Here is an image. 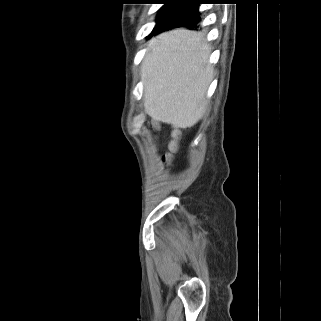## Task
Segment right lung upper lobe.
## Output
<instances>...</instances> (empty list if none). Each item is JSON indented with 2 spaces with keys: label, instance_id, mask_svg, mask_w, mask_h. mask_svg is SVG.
Here are the masks:
<instances>
[{
  "label": "right lung upper lobe",
  "instance_id": "cb5924a9",
  "mask_svg": "<svg viewBox=\"0 0 321 321\" xmlns=\"http://www.w3.org/2000/svg\"><path fill=\"white\" fill-rule=\"evenodd\" d=\"M176 1L175 3H171L173 5L177 6H183V5H188L194 3L196 0H174Z\"/></svg>",
  "mask_w": 321,
  "mask_h": 321
}]
</instances>
